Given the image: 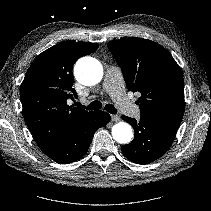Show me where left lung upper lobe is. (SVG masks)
<instances>
[{"label": "left lung upper lobe", "instance_id": "1", "mask_svg": "<svg viewBox=\"0 0 211 211\" xmlns=\"http://www.w3.org/2000/svg\"><path fill=\"white\" fill-rule=\"evenodd\" d=\"M129 90L139 92L141 116L182 119L184 80L172 55L161 45L142 38L108 42Z\"/></svg>", "mask_w": 211, "mask_h": 211}]
</instances>
